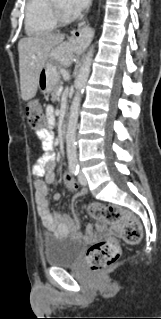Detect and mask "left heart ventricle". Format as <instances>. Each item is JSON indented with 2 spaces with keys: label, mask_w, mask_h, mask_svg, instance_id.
<instances>
[{
  "label": "left heart ventricle",
  "mask_w": 161,
  "mask_h": 319,
  "mask_svg": "<svg viewBox=\"0 0 161 319\" xmlns=\"http://www.w3.org/2000/svg\"><path fill=\"white\" fill-rule=\"evenodd\" d=\"M65 14L70 15L66 9V0H55L54 2Z\"/></svg>",
  "instance_id": "left-heart-ventricle-1"
}]
</instances>
